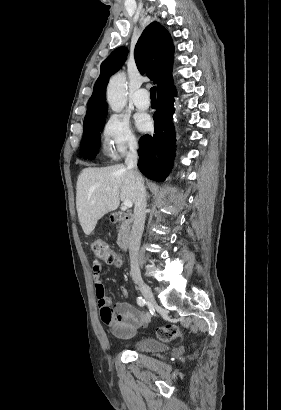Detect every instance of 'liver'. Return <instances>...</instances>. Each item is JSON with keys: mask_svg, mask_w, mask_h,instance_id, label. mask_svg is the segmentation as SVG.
<instances>
[{"mask_svg": "<svg viewBox=\"0 0 281 410\" xmlns=\"http://www.w3.org/2000/svg\"><path fill=\"white\" fill-rule=\"evenodd\" d=\"M76 189L78 219L86 235L91 234L100 218L116 210L120 201L135 203L137 198L135 175L122 164L84 168Z\"/></svg>", "mask_w": 281, "mask_h": 410, "instance_id": "liver-1", "label": "liver"}]
</instances>
